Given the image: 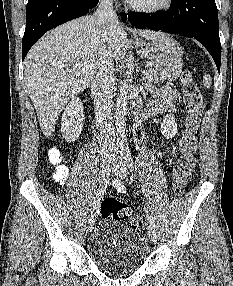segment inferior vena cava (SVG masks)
I'll return each instance as SVG.
<instances>
[{
  "label": "inferior vena cava",
  "mask_w": 233,
  "mask_h": 286,
  "mask_svg": "<svg viewBox=\"0 0 233 286\" xmlns=\"http://www.w3.org/2000/svg\"><path fill=\"white\" fill-rule=\"evenodd\" d=\"M97 24L117 22V15L113 8V0H101L95 13ZM114 63L106 56L99 59L96 64L94 77L91 82V94L94 97L95 123L100 132L101 141H109V149H113L112 123V92H113ZM103 145V144H102ZM104 146H106L104 144Z\"/></svg>",
  "instance_id": "602c4592"
}]
</instances>
